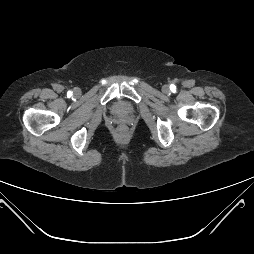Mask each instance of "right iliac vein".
I'll return each mask as SVG.
<instances>
[{"mask_svg": "<svg viewBox=\"0 0 254 254\" xmlns=\"http://www.w3.org/2000/svg\"><path fill=\"white\" fill-rule=\"evenodd\" d=\"M74 93H75V94H78V93H79V90H78V89H75V90H74Z\"/></svg>", "mask_w": 254, "mask_h": 254, "instance_id": "63e3f726", "label": "right iliac vein"}]
</instances>
